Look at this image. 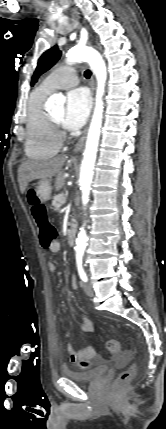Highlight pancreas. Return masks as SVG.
<instances>
[{
  "label": "pancreas",
  "instance_id": "cf45deb5",
  "mask_svg": "<svg viewBox=\"0 0 166 429\" xmlns=\"http://www.w3.org/2000/svg\"><path fill=\"white\" fill-rule=\"evenodd\" d=\"M65 197L64 194H58L56 196H54L53 201H52V205L54 207L55 210H59L60 207L62 206V200Z\"/></svg>",
  "mask_w": 166,
  "mask_h": 429
}]
</instances>
